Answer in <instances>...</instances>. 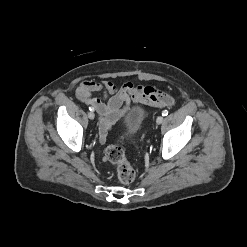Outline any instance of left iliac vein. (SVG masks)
<instances>
[{"label":"left iliac vein","mask_w":247,"mask_h":247,"mask_svg":"<svg viewBox=\"0 0 247 247\" xmlns=\"http://www.w3.org/2000/svg\"><path fill=\"white\" fill-rule=\"evenodd\" d=\"M157 124H161L163 122V117L162 116H158L156 119Z\"/></svg>","instance_id":"obj_1"}]
</instances>
